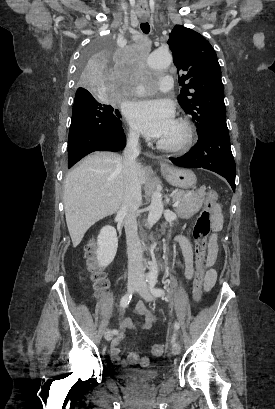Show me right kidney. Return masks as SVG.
I'll list each match as a JSON object with an SVG mask.
<instances>
[{
    "label": "right kidney",
    "mask_w": 275,
    "mask_h": 409,
    "mask_svg": "<svg viewBox=\"0 0 275 409\" xmlns=\"http://www.w3.org/2000/svg\"><path fill=\"white\" fill-rule=\"evenodd\" d=\"M97 261L100 267H108L115 259L118 247L116 229L114 227H103L97 239Z\"/></svg>",
    "instance_id": "ca27d5eb"
}]
</instances>
